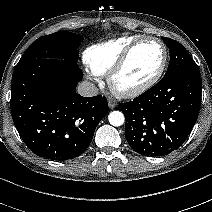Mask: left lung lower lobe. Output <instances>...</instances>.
Returning <instances> with one entry per match:
<instances>
[{
    "label": "left lung lower lobe",
    "instance_id": "left-lung-lower-lobe-1",
    "mask_svg": "<svg viewBox=\"0 0 212 212\" xmlns=\"http://www.w3.org/2000/svg\"><path fill=\"white\" fill-rule=\"evenodd\" d=\"M201 92V75L194 68L119 104L131 148L145 156H164L179 148L198 118Z\"/></svg>",
    "mask_w": 212,
    "mask_h": 212
}]
</instances>
